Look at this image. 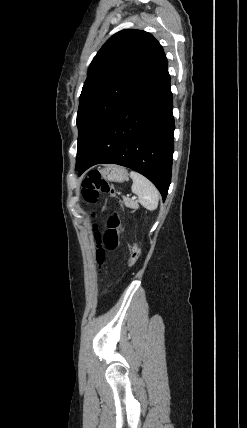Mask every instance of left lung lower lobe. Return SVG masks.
I'll return each instance as SVG.
<instances>
[{
  "label": "left lung lower lobe",
  "instance_id": "obj_1",
  "mask_svg": "<svg viewBox=\"0 0 247 428\" xmlns=\"http://www.w3.org/2000/svg\"><path fill=\"white\" fill-rule=\"evenodd\" d=\"M167 65L143 89L126 99L105 124L75 170L114 163L147 177L166 199L171 183L175 129Z\"/></svg>",
  "mask_w": 247,
  "mask_h": 428
}]
</instances>
